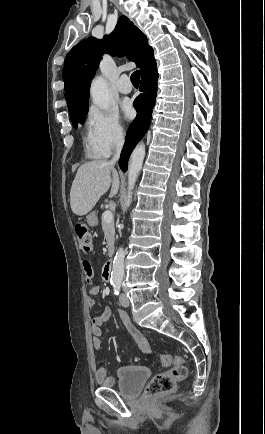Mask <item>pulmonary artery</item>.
Returning a JSON list of instances; mask_svg holds the SVG:
<instances>
[{
  "instance_id": "1",
  "label": "pulmonary artery",
  "mask_w": 265,
  "mask_h": 434,
  "mask_svg": "<svg viewBox=\"0 0 265 434\" xmlns=\"http://www.w3.org/2000/svg\"><path fill=\"white\" fill-rule=\"evenodd\" d=\"M128 79H129V77L126 74L121 76V81H118L116 84V87H117L119 92H121L123 94H128L131 92L133 85H132L131 81H125Z\"/></svg>"
}]
</instances>
